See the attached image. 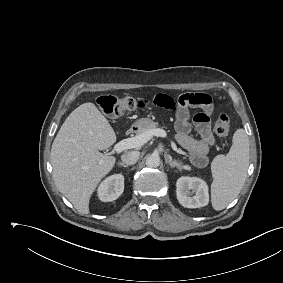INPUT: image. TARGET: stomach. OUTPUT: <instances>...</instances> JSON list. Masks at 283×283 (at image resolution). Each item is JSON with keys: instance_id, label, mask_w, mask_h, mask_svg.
Here are the masks:
<instances>
[{"instance_id": "0dacf381", "label": "stomach", "mask_w": 283, "mask_h": 283, "mask_svg": "<svg viewBox=\"0 0 283 283\" xmlns=\"http://www.w3.org/2000/svg\"><path fill=\"white\" fill-rule=\"evenodd\" d=\"M153 121L150 118H141L137 120L133 124V128L137 130V132L142 131L143 129L147 128Z\"/></svg>"}]
</instances>
